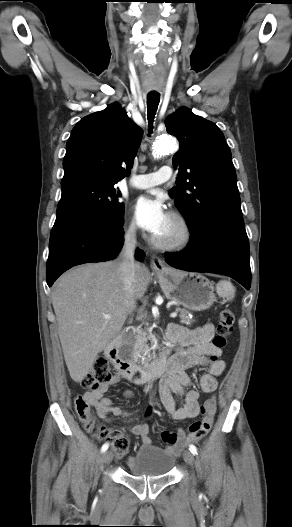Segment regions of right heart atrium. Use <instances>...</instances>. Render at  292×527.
<instances>
[{
  "mask_svg": "<svg viewBox=\"0 0 292 527\" xmlns=\"http://www.w3.org/2000/svg\"><path fill=\"white\" fill-rule=\"evenodd\" d=\"M136 234V226H135V223L133 221H131L127 227V230H126V235L129 237V238H133Z\"/></svg>",
  "mask_w": 292,
  "mask_h": 527,
  "instance_id": "obj_1",
  "label": "right heart atrium"
}]
</instances>
